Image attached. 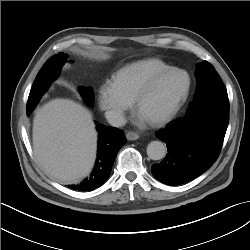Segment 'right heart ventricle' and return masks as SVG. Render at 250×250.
<instances>
[{"label":"right heart ventricle","mask_w":250,"mask_h":250,"mask_svg":"<svg viewBox=\"0 0 250 250\" xmlns=\"http://www.w3.org/2000/svg\"><path fill=\"white\" fill-rule=\"evenodd\" d=\"M171 67L158 58L137 60L116 70L111 77V84L116 90L134 100L151 77Z\"/></svg>","instance_id":"e07e8e85"}]
</instances>
